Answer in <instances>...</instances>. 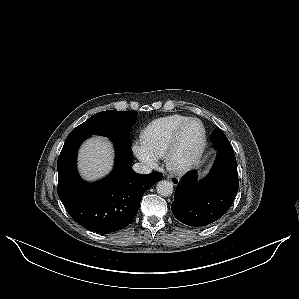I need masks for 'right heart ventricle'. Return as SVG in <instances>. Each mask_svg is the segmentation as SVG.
Listing matches in <instances>:
<instances>
[{
    "label": "right heart ventricle",
    "instance_id": "obj_1",
    "mask_svg": "<svg viewBox=\"0 0 299 299\" xmlns=\"http://www.w3.org/2000/svg\"><path fill=\"white\" fill-rule=\"evenodd\" d=\"M188 118L173 114L152 121L142 132V142L158 158L164 156L173 133Z\"/></svg>",
    "mask_w": 299,
    "mask_h": 299
}]
</instances>
